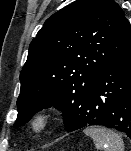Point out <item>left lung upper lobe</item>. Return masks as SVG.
I'll return each instance as SVG.
<instances>
[{
	"label": "left lung upper lobe",
	"instance_id": "5c2ea615",
	"mask_svg": "<svg viewBox=\"0 0 131 151\" xmlns=\"http://www.w3.org/2000/svg\"><path fill=\"white\" fill-rule=\"evenodd\" d=\"M130 48V24L114 0H76L54 13L30 43L14 126L55 106L68 131L101 72Z\"/></svg>",
	"mask_w": 131,
	"mask_h": 151
}]
</instances>
